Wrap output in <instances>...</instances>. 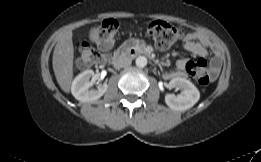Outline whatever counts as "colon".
<instances>
[{
  "instance_id": "1",
  "label": "colon",
  "mask_w": 261,
  "mask_h": 162,
  "mask_svg": "<svg viewBox=\"0 0 261 162\" xmlns=\"http://www.w3.org/2000/svg\"><path fill=\"white\" fill-rule=\"evenodd\" d=\"M118 24L114 20H106L102 24L93 27L89 36L101 50L109 48L113 39L117 33ZM150 32L155 39L158 46H168L178 37V29L168 23L162 21H155L150 25ZM97 59L94 48L88 44L83 43L81 46L80 62L83 66H92ZM194 63H190L189 67L193 68ZM198 82L202 85H206L210 82V76L204 71L199 70L197 74Z\"/></svg>"
}]
</instances>
